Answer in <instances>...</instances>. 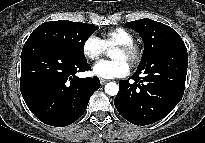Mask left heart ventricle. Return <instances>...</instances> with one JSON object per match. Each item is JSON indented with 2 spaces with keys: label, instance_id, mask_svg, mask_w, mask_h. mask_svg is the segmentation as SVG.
<instances>
[{
  "label": "left heart ventricle",
  "instance_id": "1",
  "mask_svg": "<svg viewBox=\"0 0 205 143\" xmlns=\"http://www.w3.org/2000/svg\"><path fill=\"white\" fill-rule=\"evenodd\" d=\"M112 59H123L128 63V56L125 52L120 49L115 48L111 54Z\"/></svg>",
  "mask_w": 205,
  "mask_h": 143
}]
</instances>
